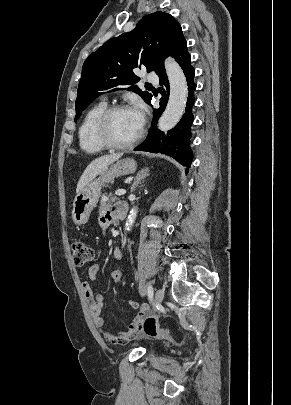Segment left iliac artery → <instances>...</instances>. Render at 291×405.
Instances as JSON below:
<instances>
[{
  "label": "left iliac artery",
  "instance_id": "44dca946",
  "mask_svg": "<svg viewBox=\"0 0 291 405\" xmlns=\"http://www.w3.org/2000/svg\"><path fill=\"white\" fill-rule=\"evenodd\" d=\"M147 294H148L149 299L152 300V298H153V287H152V285L148 286Z\"/></svg>",
  "mask_w": 291,
  "mask_h": 405
}]
</instances>
